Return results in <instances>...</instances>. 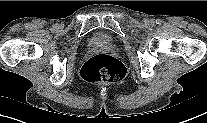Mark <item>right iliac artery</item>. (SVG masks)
I'll return each mask as SVG.
<instances>
[{"label": "right iliac artery", "instance_id": "1", "mask_svg": "<svg viewBox=\"0 0 207 123\" xmlns=\"http://www.w3.org/2000/svg\"><path fill=\"white\" fill-rule=\"evenodd\" d=\"M57 27H58L57 24L53 25V28H54V29H56Z\"/></svg>", "mask_w": 207, "mask_h": 123}]
</instances>
